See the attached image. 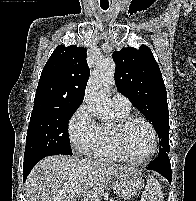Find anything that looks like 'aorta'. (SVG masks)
<instances>
[{
	"instance_id": "aorta-1",
	"label": "aorta",
	"mask_w": 196,
	"mask_h": 201,
	"mask_svg": "<svg viewBox=\"0 0 196 201\" xmlns=\"http://www.w3.org/2000/svg\"><path fill=\"white\" fill-rule=\"evenodd\" d=\"M115 62L112 58L100 61L90 76L86 87L85 102L94 116L107 121L112 118L110 88L114 82Z\"/></svg>"
}]
</instances>
